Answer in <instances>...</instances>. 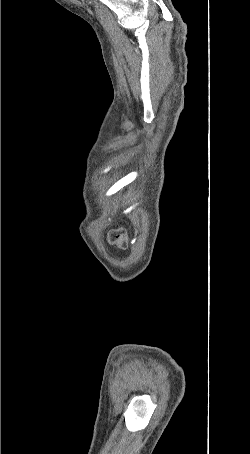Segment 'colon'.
Here are the masks:
<instances>
[{
  "label": "colon",
  "mask_w": 250,
  "mask_h": 454,
  "mask_svg": "<svg viewBox=\"0 0 250 454\" xmlns=\"http://www.w3.org/2000/svg\"><path fill=\"white\" fill-rule=\"evenodd\" d=\"M107 238L109 243L119 247L120 249L128 248L129 239L126 230L122 227L110 230Z\"/></svg>",
  "instance_id": "5ec220e1"
}]
</instances>
